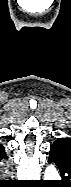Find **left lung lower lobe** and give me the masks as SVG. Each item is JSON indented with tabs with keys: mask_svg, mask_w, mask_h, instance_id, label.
<instances>
[{
	"mask_svg": "<svg viewBox=\"0 0 71 187\" xmlns=\"http://www.w3.org/2000/svg\"><path fill=\"white\" fill-rule=\"evenodd\" d=\"M48 162L54 164L60 171L62 182L68 181L71 177V153L60 147L52 146Z\"/></svg>",
	"mask_w": 71,
	"mask_h": 187,
	"instance_id": "obj_1",
	"label": "left lung lower lobe"
}]
</instances>
